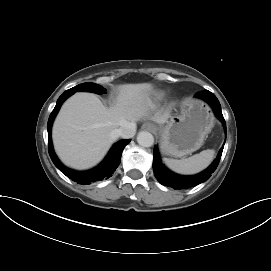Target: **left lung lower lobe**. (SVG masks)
<instances>
[{
	"label": "left lung lower lobe",
	"mask_w": 271,
	"mask_h": 271,
	"mask_svg": "<svg viewBox=\"0 0 271 271\" xmlns=\"http://www.w3.org/2000/svg\"><path fill=\"white\" fill-rule=\"evenodd\" d=\"M196 97L202 98L207 103L211 105L213 108L216 116L219 118V120L223 123L224 129L226 131V123L224 120V117L222 115L221 106L216 98V96L211 93L210 91H202L195 94ZM224 148V144L222 148L220 149L217 158L213 161V163L203 172L194 175V176H181L177 175L171 171H169L161 162L159 158V152L158 148L154 146V152H153V171L155 174V177L157 180L165 186H170L174 189H184L196 186L202 182H205L207 179L210 178L211 174L216 170L222 151Z\"/></svg>",
	"instance_id": "left-lung-lower-lobe-1"
}]
</instances>
